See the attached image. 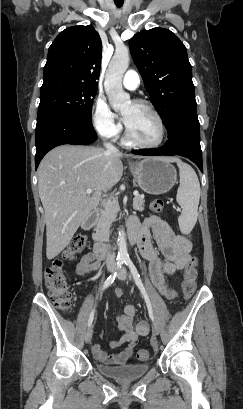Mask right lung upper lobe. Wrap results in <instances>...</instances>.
Returning <instances> with one entry per match:
<instances>
[{
	"instance_id": "cb5924a9",
	"label": "right lung upper lobe",
	"mask_w": 243,
	"mask_h": 409,
	"mask_svg": "<svg viewBox=\"0 0 243 409\" xmlns=\"http://www.w3.org/2000/svg\"><path fill=\"white\" fill-rule=\"evenodd\" d=\"M102 42L92 26L63 30L51 44L43 80L62 79L97 88Z\"/></svg>"
}]
</instances>
